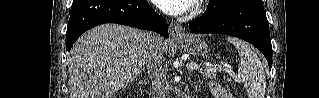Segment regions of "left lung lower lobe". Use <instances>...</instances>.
<instances>
[{"instance_id": "0a47b994", "label": "left lung lower lobe", "mask_w": 319, "mask_h": 98, "mask_svg": "<svg viewBox=\"0 0 319 98\" xmlns=\"http://www.w3.org/2000/svg\"><path fill=\"white\" fill-rule=\"evenodd\" d=\"M192 33H219L241 38L253 44L272 66V46L269 24L261 0H236L219 14L205 13L189 22Z\"/></svg>"}]
</instances>
